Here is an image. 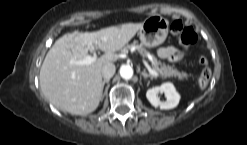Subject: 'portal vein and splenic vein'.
Listing matches in <instances>:
<instances>
[{"label":"portal vein and splenic vein","mask_w":247,"mask_h":145,"mask_svg":"<svg viewBox=\"0 0 247 145\" xmlns=\"http://www.w3.org/2000/svg\"><path fill=\"white\" fill-rule=\"evenodd\" d=\"M96 61V56L95 55H87V56H85L83 59H81V60H73L72 61V63L73 64H76V65H90V64H92L93 62H95ZM144 64H145V66H146V68H147V70L149 71V73L151 74V75H153V76H159V74L156 72V71H154L148 64H147V62H144Z\"/></svg>","instance_id":"portal-vein-and-splenic-vein-1"}]
</instances>
